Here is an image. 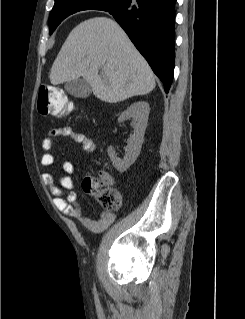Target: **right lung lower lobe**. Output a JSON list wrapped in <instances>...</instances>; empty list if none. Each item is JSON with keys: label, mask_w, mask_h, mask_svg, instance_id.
I'll list each match as a JSON object with an SVG mask.
<instances>
[{"label": "right lung lower lobe", "mask_w": 245, "mask_h": 319, "mask_svg": "<svg viewBox=\"0 0 245 319\" xmlns=\"http://www.w3.org/2000/svg\"><path fill=\"white\" fill-rule=\"evenodd\" d=\"M176 0H123L106 9L145 57L168 93L174 72Z\"/></svg>", "instance_id": "1"}]
</instances>
